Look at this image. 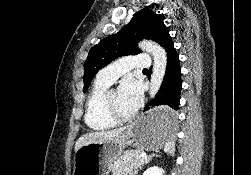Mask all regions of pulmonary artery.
I'll list each match as a JSON object with an SVG mask.
<instances>
[{"instance_id": "1", "label": "pulmonary artery", "mask_w": 251, "mask_h": 175, "mask_svg": "<svg viewBox=\"0 0 251 175\" xmlns=\"http://www.w3.org/2000/svg\"><path fill=\"white\" fill-rule=\"evenodd\" d=\"M151 66V56L147 52L133 53L132 58H117L116 62H109V66L98 73L97 80L111 85L119 76H125L127 69L142 71V67L149 70Z\"/></svg>"}]
</instances>
